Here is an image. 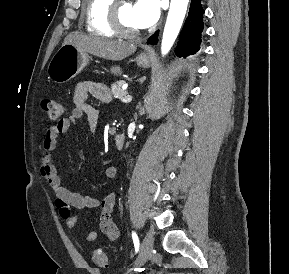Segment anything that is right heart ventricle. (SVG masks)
I'll return each instance as SVG.
<instances>
[{
	"label": "right heart ventricle",
	"instance_id": "e07e8e85",
	"mask_svg": "<svg viewBox=\"0 0 289 274\" xmlns=\"http://www.w3.org/2000/svg\"><path fill=\"white\" fill-rule=\"evenodd\" d=\"M114 0H84L83 18L86 29L104 37H114L109 21L110 7Z\"/></svg>",
	"mask_w": 289,
	"mask_h": 274
}]
</instances>
